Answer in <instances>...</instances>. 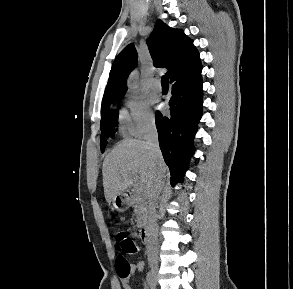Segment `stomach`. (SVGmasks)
I'll use <instances>...</instances> for the list:
<instances>
[{
    "instance_id": "obj_1",
    "label": "stomach",
    "mask_w": 293,
    "mask_h": 289,
    "mask_svg": "<svg viewBox=\"0 0 293 289\" xmlns=\"http://www.w3.org/2000/svg\"><path fill=\"white\" fill-rule=\"evenodd\" d=\"M112 204L116 210L124 211L129 204V199L122 194H118L112 199Z\"/></svg>"
}]
</instances>
